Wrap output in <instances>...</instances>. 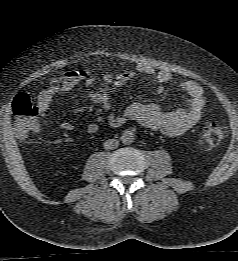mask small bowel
<instances>
[{"mask_svg": "<svg viewBox=\"0 0 238 261\" xmlns=\"http://www.w3.org/2000/svg\"><path fill=\"white\" fill-rule=\"evenodd\" d=\"M142 76L148 77L152 81L157 93H160L164 86L173 79L170 72L156 70L146 64H138L134 70L125 71L117 76L105 74L102 85L99 87L86 71L68 72L39 94L37 100L39 119H44L49 105L57 94L67 93L76 86L84 84L87 88L86 94L91 101L108 112L107 122L111 128H118L127 122L134 121L145 128L175 137L182 135L200 121L205 105L204 91L198 83L190 79H182L178 83V89L187 95L186 105L182 108L164 111L155 103L136 102L127 106L120 115L112 113L111 93L132 79ZM61 129L67 132L73 131L74 125L66 121L61 124ZM98 130L97 123H89L86 126L89 134H95Z\"/></svg>", "mask_w": 238, "mask_h": 261, "instance_id": "obj_1", "label": "small bowel"}]
</instances>
